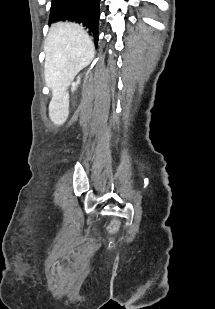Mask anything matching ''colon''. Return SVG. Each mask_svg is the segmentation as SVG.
<instances>
[{
    "label": "colon",
    "mask_w": 215,
    "mask_h": 309,
    "mask_svg": "<svg viewBox=\"0 0 215 309\" xmlns=\"http://www.w3.org/2000/svg\"><path fill=\"white\" fill-rule=\"evenodd\" d=\"M108 231H109V232L114 231V226H109V227H108Z\"/></svg>",
    "instance_id": "obj_1"
}]
</instances>
